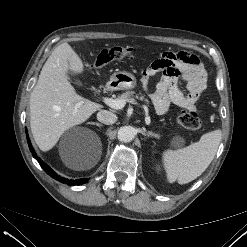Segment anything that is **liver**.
Returning a JSON list of instances; mask_svg holds the SVG:
<instances>
[{"instance_id":"1","label":"liver","mask_w":247,"mask_h":247,"mask_svg":"<svg viewBox=\"0 0 247 247\" xmlns=\"http://www.w3.org/2000/svg\"><path fill=\"white\" fill-rule=\"evenodd\" d=\"M82 74L84 65L68 43L57 46L44 64L37 84L30 96V127L34 140L42 151L52 149L69 128L82 124L102 105L78 95L70 82L68 72ZM101 157L80 163L66 162L73 170H88Z\"/></svg>"}]
</instances>
